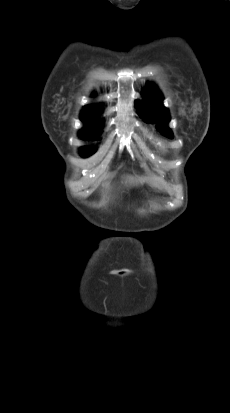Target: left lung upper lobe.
<instances>
[{
    "instance_id": "obj_1",
    "label": "left lung upper lobe",
    "mask_w": 230,
    "mask_h": 413,
    "mask_svg": "<svg viewBox=\"0 0 230 413\" xmlns=\"http://www.w3.org/2000/svg\"><path fill=\"white\" fill-rule=\"evenodd\" d=\"M146 103H136L138 114L148 123L157 124L156 128L168 138H173L171 130L167 127L170 121L167 108L162 106L163 97L155 86H146Z\"/></svg>"
}]
</instances>
